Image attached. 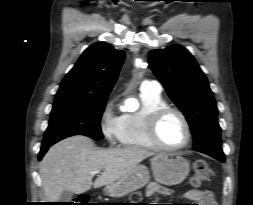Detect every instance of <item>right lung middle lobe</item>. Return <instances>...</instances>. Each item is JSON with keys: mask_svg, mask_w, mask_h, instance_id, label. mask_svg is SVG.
<instances>
[{"mask_svg": "<svg viewBox=\"0 0 253 205\" xmlns=\"http://www.w3.org/2000/svg\"><path fill=\"white\" fill-rule=\"evenodd\" d=\"M107 99L55 101L42 146L73 136L102 139L100 119Z\"/></svg>", "mask_w": 253, "mask_h": 205, "instance_id": "1", "label": "right lung middle lobe"}]
</instances>
